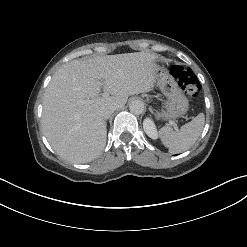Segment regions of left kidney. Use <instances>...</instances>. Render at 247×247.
Wrapping results in <instances>:
<instances>
[{
    "label": "left kidney",
    "instance_id": "obj_1",
    "mask_svg": "<svg viewBox=\"0 0 247 247\" xmlns=\"http://www.w3.org/2000/svg\"><path fill=\"white\" fill-rule=\"evenodd\" d=\"M143 128L145 133L151 138V139H157L158 138V132L156 129V126L154 122L150 118H146L143 122Z\"/></svg>",
    "mask_w": 247,
    "mask_h": 247
}]
</instances>
